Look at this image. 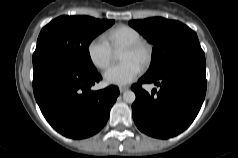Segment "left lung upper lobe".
<instances>
[{"label":"left lung upper lobe","mask_w":238,"mask_h":158,"mask_svg":"<svg viewBox=\"0 0 238 158\" xmlns=\"http://www.w3.org/2000/svg\"><path fill=\"white\" fill-rule=\"evenodd\" d=\"M129 24L154 45L145 77H154L181 60L204 56L196 33L181 22L155 17Z\"/></svg>","instance_id":"obj_1"}]
</instances>
